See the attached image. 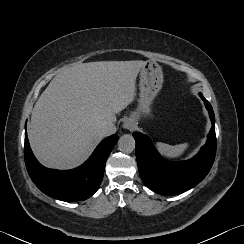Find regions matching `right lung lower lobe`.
<instances>
[{"label":"right lung lower lobe","instance_id":"obj_1","mask_svg":"<svg viewBox=\"0 0 244 244\" xmlns=\"http://www.w3.org/2000/svg\"><path fill=\"white\" fill-rule=\"evenodd\" d=\"M117 140V135L105 138L84 164L61 171L45 168L36 160L25 131L24 158L28 174L34 184L52 198L67 202L87 199L98 190L106 160Z\"/></svg>","mask_w":244,"mask_h":244}]
</instances>
